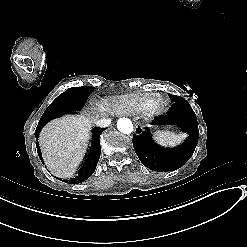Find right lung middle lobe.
Instances as JSON below:
<instances>
[{
  "mask_svg": "<svg viewBox=\"0 0 247 247\" xmlns=\"http://www.w3.org/2000/svg\"><path fill=\"white\" fill-rule=\"evenodd\" d=\"M93 89L88 86L67 89L48 106L41 118L52 119L62 113L80 110Z\"/></svg>",
  "mask_w": 247,
  "mask_h": 247,
  "instance_id": "dd1d6c3e",
  "label": "right lung middle lobe"
}]
</instances>
